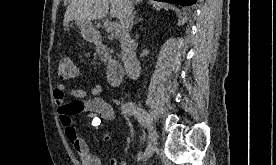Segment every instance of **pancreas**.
Instances as JSON below:
<instances>
[{
    "mask_svg": "<svg viewBox=\"0 0 276 165\" xmlns=\"http://www.w3.org/2000/svg\"><path fill=\"white\" fill-rule=\"evenodd\" d=\"M112 50H97V54L99 55L101 61L107 62L111 59Z\"/></svg>",
    "mask_w": 276,
    "mask_h": 165,
    "instance_id": "obj_1",
    "label": "pancreas"
}]
</instances>
